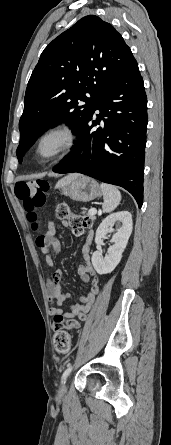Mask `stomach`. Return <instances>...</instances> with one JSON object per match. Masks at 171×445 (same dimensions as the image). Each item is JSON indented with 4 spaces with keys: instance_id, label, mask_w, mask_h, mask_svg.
Returning <instances> with one entry per match:
<instances>
[{
    "instance_id": "stomach-1",
    "label": "stomach",
    "mask_w": 171,
    "mask_h": 445,
    "mask_svg": "<svg viewBox=\"0 0 171 445\" xmlns=\"http://www.w3.org/2000/svg\"><path fill=\"white\" fill-rule=\"evenodd\" d=\"M58 187L63 195L74 201L89 202L102 194L98 183L87 176H77L70 181L63 179Z\"/></svg>"
}]
</instances>
